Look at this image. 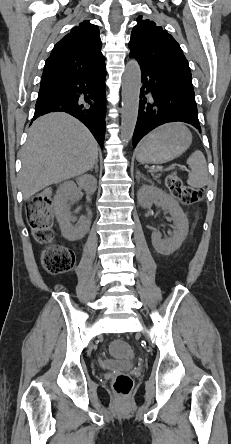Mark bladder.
Masks as SVG:
<instances>
[{"instance_id":"1","label":"bladder","mask_w":231,"mask_h":444,"mask_svg":"<svg viewBox=\"0 0 231 444\" xmlns=\"http://www.w3.org/2000/svg\"><path fill=\"white\" fill-rule=\"evenodd\" d=\"M134 366L133 363L130 362H122V361H106L101 364V368L103 369H116V370H129Z\"/></svg>"}]
</instances>
